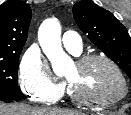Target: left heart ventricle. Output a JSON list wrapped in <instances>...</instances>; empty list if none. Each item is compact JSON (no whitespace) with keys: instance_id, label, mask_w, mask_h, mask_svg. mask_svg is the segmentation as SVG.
<instances>
[{"instance_id":"left-heart-ventricle-1","label":"left heart ventricle","mask_w":131,"mask_h":115,"mask_svg":"<svg viewBox=\"0 0 131 115\" xmlns=\"http://www.w3.org/2000/svg\"><path fill=\"white\" fill-rule=\"evenodd\" d=\"M65 78L79 94L111 98L121 92L119 77L109 65L101 61H94L83 68L74 64L66 72Z\"/></svg>"}]
</instances>
